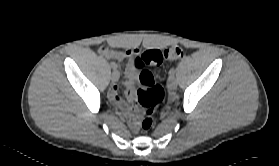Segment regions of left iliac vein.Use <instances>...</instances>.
Listing matches in <instances>:
<instances>
[{"mask_svg":"<svg viewBox=\"0 0 279 166\" xmlns=\"http://www.w3.org/2000/svg\"><path fill=\"white\" fill-rule=\"evenodd\" d=\"M167 86L169 89H175L177 87V80L174 76H170L167 81Z\"/></svg>","mask_w":279,"mask_h":166,"instance_id":"1","label":"left iliac vein"}]
</instances>
